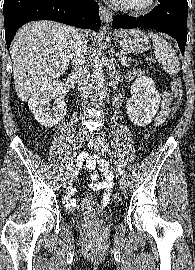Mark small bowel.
I'll use <instances>...</instances> for the list:
<instances>
[{"mask_svg":"<svg viewBox=\"0 0 195 270\" xmlns=\"http://www.w3.org/2000/svg\"><path fill=\"white\" fill-rule=\"evenodd\" d=\"M171 94L169 92H164L162 94L161 98V106L160 111L156 116L154 125L161 124L168 116L169 110H170V104H171ZM82 164H85V166L88 169L91 170H99L103 175V180H99V174L93 173L91 174V180L90 183V189L97 192V191H103L104 195L101 200L102 205H107L110 201V193L111 189L114 186V173L110 169V164L108 161L102 159L98 155L94 154H83L78 159V166H81ZM74 189L70 188L65 196H64V202L67 207L72 208L76 205L77 201L72 198V195L74 194ZM88 203H91V200H87Z\"/></svg>","mask_w":195,"mask_h":270,"instance_id":"small-bowel-1","label":"small bowel"}]
</instances>
